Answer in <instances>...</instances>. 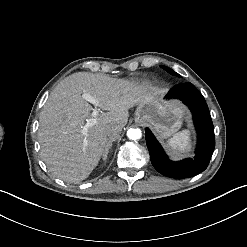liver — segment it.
Segmentation results:
<instances>
[{
	"mask_svg": "<svg viewBox=\"0 0 247 247\" xmlns=\"http://www.w3.org/2000/svg\"><path fill=\"white\" fill-rule=\"evenodd\" d=\"M156 90V85L147 80L89 72H77L63 79L39 116L40 155L48 171L68 183L85 179L97 165L108 141L106 127H124L128 110ZM81 93L97 99L96 109L108 111L90 127H85V119L93 108Z\"/></svg>",
	"mask_w": 247,
	"mask_h": 247,
	"instance_id": "liver-1",
	"label": "liver"
}]
</instances>
